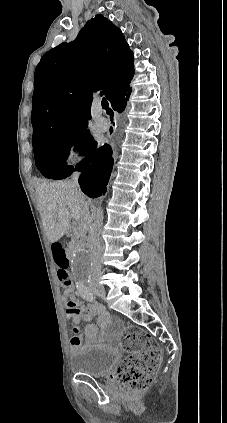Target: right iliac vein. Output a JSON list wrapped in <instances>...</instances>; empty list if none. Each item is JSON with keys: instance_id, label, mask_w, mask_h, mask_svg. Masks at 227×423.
<instances>
[{"instance_id": "obj_1", "label": "right iliac vein", "mask_w": 227, "mask_h": 423, "mask_svg": "<svg viewBox=\"0 0 227 423\" xmlns=\"http://www.w3.org/2000/svg\"><path fill=\"white\" fill-rule=\"evenodd\" d=\"M94 292L101 298H105L106 296V291L103 288L94 289Z\"/></svg>"}]
</instances>
